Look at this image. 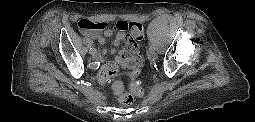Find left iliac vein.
Here are the masks:
<instances>
[{
    "mask_svg": "<svg viewBox=\"0 0 255 122\" xmlns=\"http://www.w3.org/2000/svg\"><path fill=\"white\" fill-rule=\"evenodd\" d=\"M148 57L150 60L155 61L158 58V54L156 52H150Z\"/></svg>",
    "mask_w": 255,
    "mask_h": 122,
    "instance_id": "4c4485c4",
    "label": "left iliac vein"
}]
</instances>
